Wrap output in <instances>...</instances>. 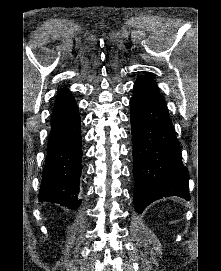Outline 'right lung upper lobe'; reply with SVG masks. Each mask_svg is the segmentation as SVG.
<instances>
[{
    "instance_id": "obj_1",
    "label": "right lung upper lobe",
    "mask_w": 221,
    "mask_h": 271,
    "mask_svg": "<svg viewBox=\"0 0 221 271\" xmlns=\"http://www.w3.org/2000/svg\"><path fill=\"white\" fill-rule=\"evenodd\" d=\"M75 100L67 88H62L58 91L56 96V101L53 110L60 109L64 106H67L73 103Z\"/></svg>"
}]
</instances>
